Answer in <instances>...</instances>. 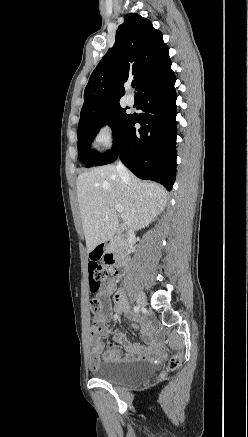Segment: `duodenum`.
Segmentation results:
<instances>
[{"label":"duodenum","instance_id":"1","mask_svg":"<svg viewBox=\"0 0 248 437\" xmlns=\"http://www.w3.org/2000/svg\"><path fill=\"white\" fill-rule=\"evenodd\" d=\"M133 239V235L131 233H126L122 229H118L116 232V249L113 255L115 259V266L113 269V275L115 277L121 276L124 268L127 266L129 262V257L127 254L128 243ZM110 246V241L102 242L96 246V248H91L88 251V254L91 257H104L108 247Z\"/></svg>","mask_w":248,"mask_h":437}]
</instances>
